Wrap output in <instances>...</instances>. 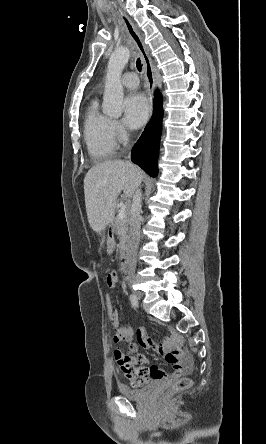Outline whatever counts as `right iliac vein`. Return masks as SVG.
Here are the masks:
<instances>
[{"instance_id": "63e3f726", "label": "right iliac vein", "mask_w": 266, "mask_h": 444, "mask_svg": "<svg viewBox=\"0 0 266 444\" xmlns=\"http://www.w3.org/2000/svg\"><path fill=\"white\" fill-rule=\"evenodd\" d=\"M133 284H134V281H133V280H130V281H129V285L132 286ZM133 295L135 296V298H136L137 300H141V298H142L141 292L138 291V290H134V289H133Z\"/></svg>"}]
</instances>
